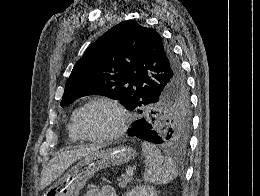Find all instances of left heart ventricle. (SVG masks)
Returning <instances> with one entry per match:
<instances>
[{
	"mask_svg": "<svg viewBox=\"0 0 260 196\" xmlns=\"http://www.w3.org/2000/svg\"><path fill=\"white\" fill-rule=\"evenodd\" d=\"M120 124L116 109L103 102L88 106L80 116V125L87 135L101 136L114 131Z\"/></svg>",
	"mask_w": 260,
	"mask_h": 196,
	"instance_id": "obj_1",
	"label": "left heart ventricle"
}]
</instances>
